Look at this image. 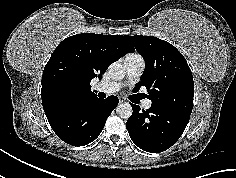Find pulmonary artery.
Instances as JSON below:
<instances>
[{
  "label": "pulmonary artery",
  "mask_w": 236,
  "mask_h": 178,
  "mask_svg": "<svg viewBox=\"0 0 236 178\" xmlns=\"http://www.w3.org/2000/svg\"><path fill=\"white\" fill-rule=\"evenodd\" d=\"M124 67L126 73V79L128 81L134 80L140 77L145 68V62L140 55H129L124 60ZM121 88L119 82H102L95 86V90L98 92H104L112 94L117 92ZM152 105L150 100H144L142 106L144 109H149Z\"/></svg>",
  "instance_id": "1"
}]
</instances>
